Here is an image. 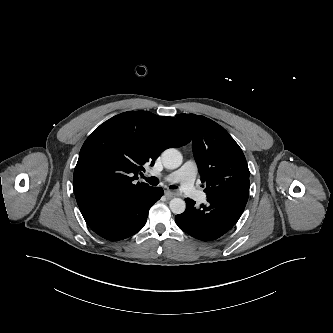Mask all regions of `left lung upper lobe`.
Returning a JSON list of instances; mask_svg holds the SVG:
<instances>
[{"label":"left lung upper lobe","instance_id":"1","mask_svg":"<svg viewBox=\"0 0 333 333\" xmlns=\"http://www.w3.org/2000/svg\"><path fill=\"white\" fill-rule=\"evenodd\" d=\"M176 116L192 133L193 153L206 193L225 182L249 178L241 148L223 127L200 115Z\"/></svg>","mask_w":333,"mask_h":333}]
</instances>
